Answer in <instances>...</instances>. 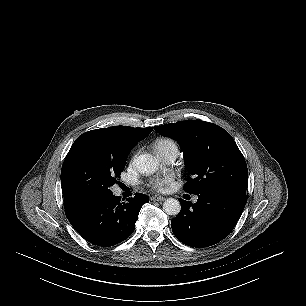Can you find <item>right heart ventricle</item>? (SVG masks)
Listing matches in <instances>:
<instances>
[{
    "label": "right heart ventricle",
    "mask_w": 306,
    "mask_h": 306,
    "mask_svg": "<svg viewBox=\"0 0 306 306\" xmlns=\"http://www.w3.org/2000/svg\"><path fill=\"white\" fill-rule=\"evenodd\" d=\"M156 152L163 158V156L171 150H178L176 143L169 138L157 139L153 144Z\"/></svg>",
    "instance_id": "right-heart-ventricle-1"
}]
</instances>
